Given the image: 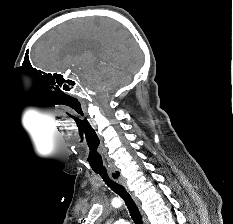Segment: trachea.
<instances>
[{
	"label": "trachea",
	"mask_w": 233,
	"mask_h": 224,
	"mask_svg": "<svg viewBox=\"0 0 233 224\" xmlns=\"http://www.w3.org/2000/svg\"><path fill=\"white\" fill-rule=\"evenodd\" d=\"M96 174L100 175L107 186L124 200L134 223L143 224L138 208L125 188L118 182L111 179L107 172H96Z\"/></svg>",
	"instance_id": "1"
}]
</instances>
